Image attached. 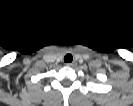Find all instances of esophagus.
<instances>
[{
  "label": "esophagus",
  "mask_w": 133,
  "mask_h": 106,
  "mask_svg": "<svg viewBox=\"0 0 133 106\" xmlns=\"http://www.w3.org/2000/svg\"><path fill=\"white\" fill-rule=\"evenodd\" d=\"M68 67H74L76 65V62H70L66 64Z\"/></svg>",
  "instance_id": "esophagus-1"
}]
</instances>
